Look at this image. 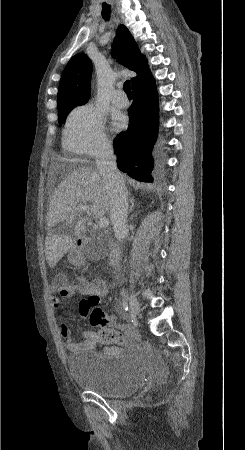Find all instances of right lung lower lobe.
I'll list each match as a JSON object with an SVG mask.
<instances>
[{
    "mask_svg": "<svg viewBox=\"0 0 245 450\" xmlns=\"http://www.w3.org/2000/svg\"><path fill=\"white\" fill-rule=\"evenodd\" d=\"M133 103L129 108L130 127L114 141L117 166L132 178L152 182L154 158L160 155L156 143L159 106L155 81L151 72L132 84Z\"/></svg>",
    "mask_w": 245,
    "mask_h": 450,
    "instance_id": "obj_1",
    "label": "right lung lower lobe"
}]
</instances>
